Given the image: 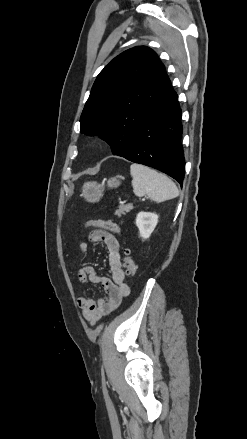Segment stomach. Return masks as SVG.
I'll return each instance as SVG.
<instances>
[{
	"label": "stomach",
	"instance_id": "stomach-1",
	"mask_svg": "<svg viewBox=\"0 0 247 439\" xmlns=\"http://www.w3.org/2000/svg\"><path fill=\"white\" fill-rule=\"evenodd\" d=\"M120 183L121 182L118 178L112 177L107 181V187L117 188ZM104 189V183L99 184L97 182H86L82 187L81 196L84 197L87 202L95 203L102 198Z\"/></svg>",
	"mask_w": 247,
	"mask_h": 439
}]
</instances>
